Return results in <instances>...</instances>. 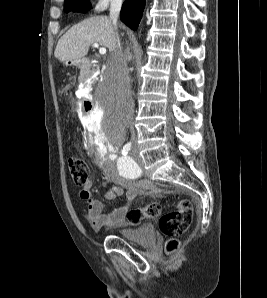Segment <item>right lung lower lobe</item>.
<instances>
[{
  "mask_svg": "<svg viewBox=\"0 0 267 298\" xmlns=\"http://www.w3.org/2000/svg\"><path fill=\"white\" fill-rule=\"evenodd\" d=\"M145 0H125L123 3L120 19L131 29L136 30L141 20Z\"/></svg>",
  "mask_w": 267,
  "mask_h": 298,
  "instance_id": "1",
  "label": "right lung lower lobe"
}]
</instances>
